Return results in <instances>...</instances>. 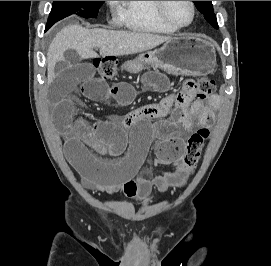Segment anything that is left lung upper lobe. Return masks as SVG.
<instances>
[{"mask_svg":"<svg viewBox=\"0 0 271 266\" xmlns=\"http://www.w3.org/2000/svg\"><path fill=\"white\" fill-rule=\"evenodd\" d=\"M196 8L204 15V18L214 27L219 28L211 1H193Z\"/></svg>","mask_w":271,"mask_h":266,"instance_id":"1","label":"left lung upper lobe"}]
</instances>
